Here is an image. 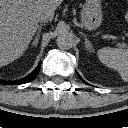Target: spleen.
Wrapping results in <instances>:
<instances>
[{"label": "spleen", "instance_id": "1", "mask_svg": "<svg viewBox=\"0 0 128 128\" xmlns=\"http://www.w3.org/2000/svg\"><path fill=\"white\" fill-rule=\"evenodd\" d=\"M97 54L101 63L117 70L121 78L128 82V49L104 47Z\"/></svg>", "mask_w": 128, "mask_h": 128}]
</instances>
